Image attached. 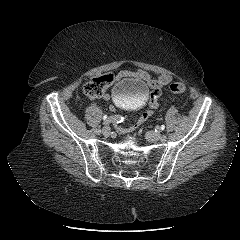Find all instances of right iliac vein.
I'll return each instance as SVG.
<instances>
[{"label": "right iliac vein", "mask_w": 240, "mask_h": 240, "mask_svg": "<svg viewBox=\"0 0 240 240\" xmlns=\"http://www.w3.org/2000/svg\"><path fill=\"white\" fill-rule=\"evenodd\" d=\"M102 133H103V135L108 136L110 134V127L104 126L102 129Z\"/></svg>", "instance_id": "obj_1"}]
</instances>
